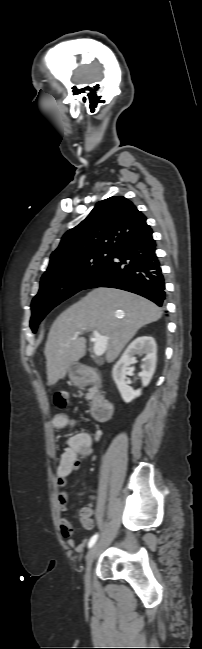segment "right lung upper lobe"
Listing matches in <instances>:
<instances>
[{
	"label": "right lung upper lobe",
	"instance_id": "right-lung-upper-lobe-1",
	"mask_svg": "<svg viewBox=\"0 0 202 649\" xmlns=\"http://www.w3.org/2000/svg\"><path fill=\"white\" fill-rule=\"evenodd\" d=\"M146 217L123 196L98 202L79 225L67 231L51 254L47 271L59 270L66 262L93 251L114 252L126 240L148 230Z\"/></svg>",
	"mask_w": 202,
	"mask_h": 649
}]
</instances>
